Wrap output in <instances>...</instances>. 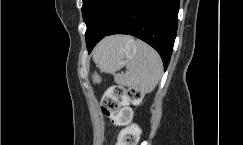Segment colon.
I'll list each match as a JSON object with an SVG mask.
<instances>
[{
  "mask_svg": "<svg viewBox=\"0 0 243 145\" xmlns=\"http://www.w3.org/2000/svg\"><path fill=\"white\" fill-rule=\"evenodd\" d=\"M143 100V93L136 88L125 89L112 86L104 94L101 104L103 114L110 117L112 122L124 126L118 136L116 145H137L140 129L130 124L132 113L128 104L139 105Z\"/></svg>",
  "mask_w": 243,
  "mask_h": 145,
  "instance_id": "obj_1",
  "label": "colon"
}]
</instances>
